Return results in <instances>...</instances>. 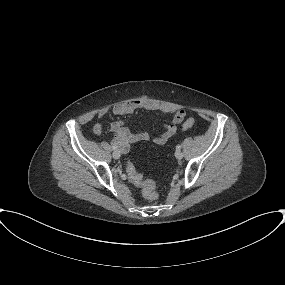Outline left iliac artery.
Segmentation results:
<instances>
[{"instance_id":"1","label":"left iliac artery","mask_w":285,"mask_h":285,"mask_svg":"<svg viewBox=\"0 0 285 285\" xmlns=\"http://www.w3.org/2000/svg\"><path fill=\"white\" fill-rule=\"evenodd\" d=\"M180 149H181V145H177L176 150H180Z\"/></svg>"}]
</instances>
